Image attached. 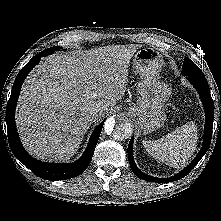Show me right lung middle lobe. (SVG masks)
Returning a JSON list of instances; mask_svg holds the SVG:
<instances>
[{"mask_svg":"<svg viewBox=\"0 0 221 221\" xmlns=\"http://www.w3.org/2000/svg\"><path fill=\"white\" fill-rule=\"evenodd\" d=\"M60 49V47H51L49 49H46L40 53H45V55H50L52 53H54L56 50Z\"/></svg>","mask_w":221,"mask_h":221,"instance_id":"right-lung-middle-lobe-1","label":"right lung middle lobe"}]
</instances>
